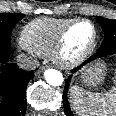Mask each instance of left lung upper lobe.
<instances>
[{
    "mask_svg": "<svg viewBox=\"0 0 116 116\" xmlns=\"http://www.w3.org/2000/svg\"><path fill=\"white\" fill-rule=\"evenodd\" d=\"M96 20L100 23L105 33L104 41L98 51L106 52L116 49V20H110L101 16H97Z\"/></svg>",
    "mask_w": 116,
    "mask_h": 116,
    "instance_id": "left-lung-upper-lobe-1",
    "label": "left lung upper lobe"
}]
</instances>
